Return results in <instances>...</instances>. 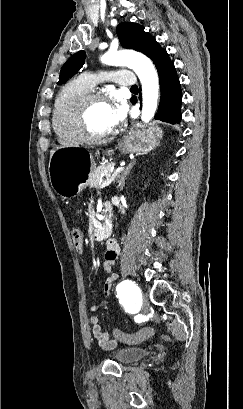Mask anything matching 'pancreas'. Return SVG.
Returning a JSON list of instances; mask_svg holds the SVG:
<instances>
[{
  "label": "pancreas",
  "mask_w": 243,
  "mask_h": 409,
  "mask_svg": "<svg viewBox=\"0 0 243 409\" xmlns=\"http://www.w3.org/2000/svg\"><path fill=\"white\" fill-rule=\"evenodd\" d=\"M112 166L113 163H107L105 165H100L97 168H95L89 175L88 178V184L90 186V188H96L99 185H101V183L106 179H110L112 177V174L114 171H112ZM102 174L104 175V177H102ZM119 175H117L113 181H115L116 178H118Z\"/></svg>",
  "instance_id": "1"
}]
</instances>
